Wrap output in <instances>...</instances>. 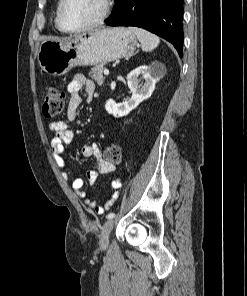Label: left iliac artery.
<instances>
[{
  "instance_id": "1",
  "label": "left iliac artery",
  "mask_w": 247,
  "mask_h": 296,
  "mask_svg": "<svg viewBox=\"0 0 247 296\" xmlns=\"http://www.w3.org/2000/svg\"><path fill=\"white\" fill-rule=\"evenodd\" d=\"M115 217V213H109L107 215V219H113Z\"/></svg>"
}]
</instances>
